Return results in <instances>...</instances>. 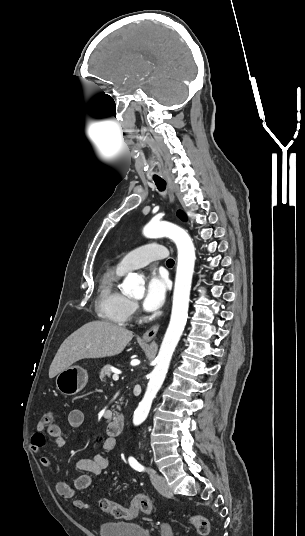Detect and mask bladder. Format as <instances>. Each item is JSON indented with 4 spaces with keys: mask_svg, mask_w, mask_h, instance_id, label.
<instances>
[{
    "mask_svg": "<svg viewBox=\"0 0 305 536\" xmlns=\"http://www.w3.org/2000/svg\"><path fill=\"white\" fill-rule=\"evenodd\" d=\"M98 534L99 536H152L148 528L141 526L133 520L100 522L98 525Z\"/></svg>",
    "mask_w": 305,
    "mask_h": 536,
    "instance_id": "31cf9c89",
    "label": "bladder"
}]
</instances>
